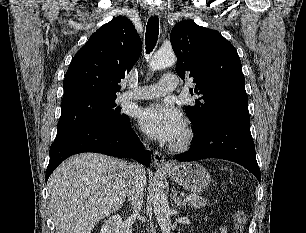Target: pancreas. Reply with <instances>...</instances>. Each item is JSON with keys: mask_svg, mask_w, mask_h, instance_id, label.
<instances>
[{"mask_svg": "<svg viewBox=\"0 0 306 233\" xmlns=\"http://www.w3.org/2000/svg\"><path fill=\"white\" fill-rule=\"evenodd\" d=\"M187 196L190 198L189 205L196 209L205 207L208 201L206 198H202L194 194H188Z\"/></svg>", "mask_w": 306, "mask_h": 233, "instance_id": "cf45deb5", "label": "pancreas"}]
</instances>
